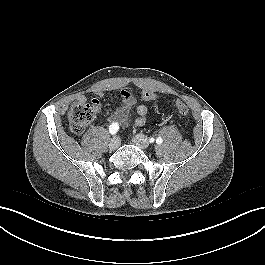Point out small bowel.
Wrapping results in <instances>:
<instances>
[{"label":"small bowel","mask_w":265,"mask_h":265,"mask_svg":"<svg viewBox=\"0 0 265 265\" xmlns=\"http://www.w3.org/2000/svg\"><path fill=\"white\" fill-rule=\"evenodd\" d=\"M101 95V93H99ZM122 103L114 111H112L108 116V121L112 123H122L126 120L130 110L136 104L135 96L129 90L121 91ZM85 98L79 96L77 98L78 102H83ZM97 103L98 108L100 107V101L98 99H93ZM137 117L135 119L136 126H143L147 121L148 109L145 105H138L136 108Z\"/></svg>","instance_id":"1"}]
</instances>
